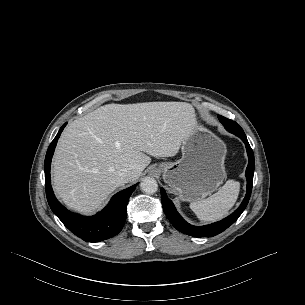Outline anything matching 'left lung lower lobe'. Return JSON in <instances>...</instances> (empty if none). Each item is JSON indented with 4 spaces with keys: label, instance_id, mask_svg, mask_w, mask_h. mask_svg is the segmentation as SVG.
Instances as JSON below:
<instances>
[{
    "label": "left lung lower lobe",
    "instance_id": "left-lung-lower-lobe-1",
    "mask_svg": "<svg viewBox=\"0 0 305 305\" xmlns=\"http://www.w3.org/2000/svg\"><path fill=\"white\" fill-rule=\"evenodd\" d=\"M240 137L243 142L245 143L247 154L249 158V163L246 169V178H247V192L244 200L240 204L239 208L229 215L228 217L224 218L220 222H215L209 225L205 226H192L188 224L176 211L172 201L167 197L165 190L161 189V201L163 210L169 219V221L172 223V225L179 230L182 233H185L187 235H191L194 237H212L215 236L221 232H223L225 229H227L229 226H231L242 214V212L245 210L252 191V182H253V174H254V154L253 151L249 145V142L247 140V137L245 134L237 135Z\"/></svg>",
    "mask_w": 305,
    "mask_h": 305
}]
</instances>
